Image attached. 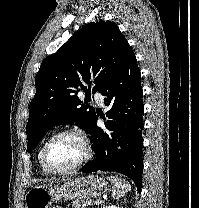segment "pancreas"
Instances as JSON below:
<instances>
[{
    "label": "pancreas",
    "instance_id": "1",
    "mask_svg": "<svg viewBox=\"0 0 199 208\" xmlns=\"http://www.w3.org/2000/svg\"><path fill=\"white\" fill-rule=\"evenodd\" d=\"M93 205V200L88 199V200H81V201H74L72 202L73 208H87L88 206ZM58 208V207H56Z\"/></svg>",
    "mask_w": 199,
    "mask_h": 208
}]
</instances>
